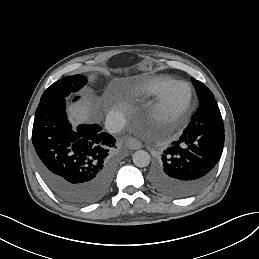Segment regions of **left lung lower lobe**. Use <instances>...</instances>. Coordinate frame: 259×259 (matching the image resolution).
Instances as JSON below:
<instances>
[{"instance_id": "left-lung-lower-lobe-1", "label": "left lung lower lobe", "mask_w": 259, "mask_h": 259, "mask_svg": "<svg viewBox=\"0 0 259 259\" xmlns=\"http://www.w3.org/2000/svg\"><path fill=\"white\" fill-rule=\"evenodd\" d=\"M199 108L183 134L162 154L150 172L159 193L183 198L200 191L212 177L224 146V124L214 96L199 100Z\"/></svg>"}]
</instances>
